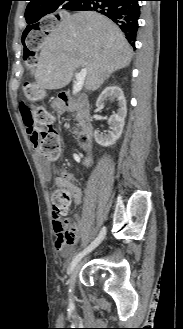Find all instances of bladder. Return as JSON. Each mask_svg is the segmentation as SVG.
<instances>
[{"mask_svg":"<svg viewBox=\"0 0 183 329\" xmlns=\"http://www.w3.org/2000/svg\"><path fill=\"white\" fill-rule=\"evenodd\" d=\"M65 249H66V250H67V249H69L68 245L66 246V248H65Z\"/></svg>","mask_w":183,"mask_h":329,"instance_id":"bladder-1","label":"bladder"}]
</instances>
